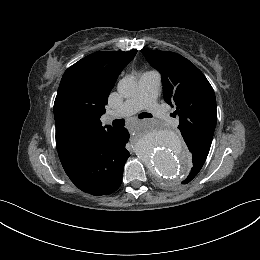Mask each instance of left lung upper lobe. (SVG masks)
<instances>
[{"label":"left lung upper lobe","mask_w":260,"mask_h":260,"mask_svg":"<svg viewBox=\"0 0 260 260\" xmlns=\"http://www.w3.org/2000/svg\"><path fill=\"white\" fill-rule=\"evenodd\" d=\"M148 62L162 75L165 101L176 107L179 130L188 146L208 155L217 122L214 90L203 73L183 56L142 49ZM200 169L205 160L200 159Z\"/></svg>","instance_id":"1"}]
</instances>
